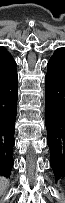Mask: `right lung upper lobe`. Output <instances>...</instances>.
<instances>
[{
	"instance_id": "cb5924a9",
	"label": "right lung upper lobe",
	"mask_w": 65,
	"mask_h": 203,
	"mask_svg": "<svg viewBox=\"0 0 65 203\" xmlns=\"http://www.w3.org/2000/svg\"><path fill=\"white\" fill-rule=\"evenodd\" d=\"M16 66L12 56L4 48H0V69H9Z\"/></svg>"
}]
</instances>
